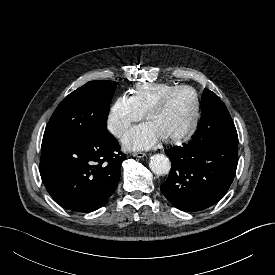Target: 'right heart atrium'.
Wrapping results in <instances>:
<instances>
[{"label":"right heart atrium","mask_w":275,"mask_h":275,"mask_svg":"<svg viewBox=\"0 0 275 275\" xmlns=\"http://www.w3.org/2000/svg\"><path fill=\"white\" fill-rule=\"evenodd\" d=\"M143 114L135 107L127 95L119 96L111 105L107 116V128L120 138L135 122L142 119Z\"/></svg>","instance_id":"right-heart-atrium-1"}]
</instances>
